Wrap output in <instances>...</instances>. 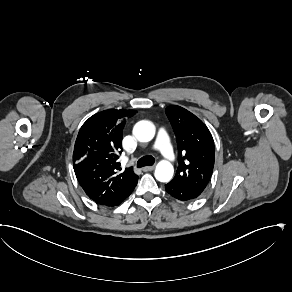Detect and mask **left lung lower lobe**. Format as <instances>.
I'll list each match as a JSON object with an SVG mask.
<instances>
[{
	"label": "left lung lower lobe",
	"instance_id": "left-lung-lower-lobe-1",
	"mask_svg": "<svg viewBox=\"0 0 292 292\" xmlns=\"http://www.w3.org/2000/svg\"><path fill=\"white\" fill-rule=\"evenodd\" d=\"M167 193L180 201H190L196 199L201 193L180 187L172 182L165 185Z\"/></svg>",
	"mask_w": 292,
	"mask_h": 292
}]
</instances>
